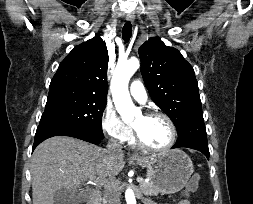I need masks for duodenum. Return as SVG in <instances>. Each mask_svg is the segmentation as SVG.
<instances>
[{"label": "duodenum", "mask_w": 253, "mask_h": 204, "mask_svg": "<svg viewBox=\"0 0 253 204\" xmlns=\"http://www.w3.org/2000/svg\"><path fill=\"white\" fill-rule=\"evenodd\" d=\"M100 197V192L98 190H93L88 198L87 204H97Z\"/></svg>", "instance_id": "duodenum-1"}]
</instances>
